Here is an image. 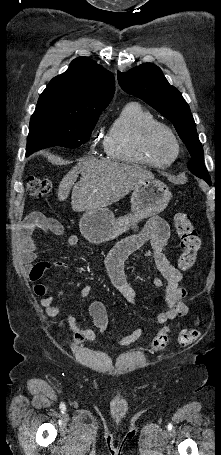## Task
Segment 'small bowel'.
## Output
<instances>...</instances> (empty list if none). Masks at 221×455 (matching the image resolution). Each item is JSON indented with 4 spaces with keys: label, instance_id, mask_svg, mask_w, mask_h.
Instances as JSON below:
<instances>
[{
    "label": "small bowel",
    "instance_id": "c3829d8e",
    "mask_svg": "<svg viewBox=\"0 0 221 455\" xmlns=\"http://www.w3.org/2000/svg\"><path fill=\"white\" fill-rule=\"evenodd\" d=\"M35 230L54 235H63L64 227L58 220L50 216L42 213H32L24 221L19 236L21 259L25 266H30V280L35 283L33 289L40 296V305L48 316H57L61 312V307L56 303V299L61 296V293L58 296L49 294L47 285L38 281L50 268H63L67 264L63 261L34 263L36 253L33 233ZM169 240L170 229L168 224L162 218L154 217L149 220L142 232L128 236L120 241L105 258V267L112 284L127 301L135 303L137 296L126 280L125 262L129 257L136 255L146 242L150 244V248L144 251L143 257L149 259L160 274V277L153 280V285L162 290L163 301L166 306L156 317V322L159 325L184 317L188 313V306L184 301L187 291L182 285L183 276L163 252ZM78 243L79 237L77 235L68 236L67 244L69 246H75ZM91 290L92 287L90 285H85L81 290V296L87 298ZM89 313L93 319L95 329L82 328L75 317L72 315L67 316L69 328L78 344L84 341H94L110 328L107 311L101 301H93L89 306ZM143 333L144 328L139 327L130 334L118 339L117 344L128 346L137 341Z\"/></svg>",
    "mask_w": 221,
    "mask_h": 455
}]
</instances>
